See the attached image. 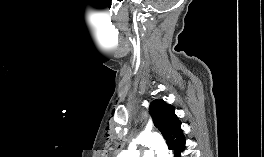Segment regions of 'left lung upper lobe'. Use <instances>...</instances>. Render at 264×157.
<instances>
[{
    "label": "left lung upper lobe",
    "instance_id": "obj_1",
    "mask_svg": "<svg viewBox=\"0 0 264 157\" xmlns=\"http://www.w3.org/2000/svg\"><path fill=\"white\" fill-rule=\"evenodd\" d=\"M174 106L163 100H154L149 106V113L155 127L162 133L171 150L184 140L181 122L174 112Z\"/></svg>",
    "mask_w": 264,
    "mask_h": 157
}]
</instances>
